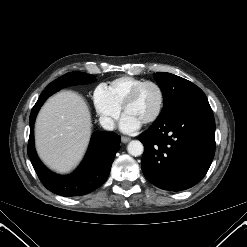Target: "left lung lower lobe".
Instances as JSON below:
<instances>
[{
    "mask_svg": "<svg viewBox=\"0 0 247 247\" xmlns=\"http://www.w3.org/2000/svg\"><path fill=\"white\" fill-rule=\"evenodd\" d=\"M141 167L161 189L181 191L207 173L215 153V121L206 96L188 99L144 131Z\"/></svg>",
    "mask_w": 247,
    "mask_h": 247,
    "instance_id": "0a47b994",
    "label": "left lung lower lobe"
}]
</instances>
